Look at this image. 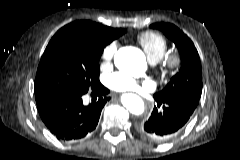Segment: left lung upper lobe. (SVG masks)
I'll return each instance as SVG.
<instances>
[{"label":"left lung upper lobe","mask_w":240,"mask_h":160,"mask_svg":"<svg viewBox=\"0 0 240 160\" xmlns=\"http://www.w3.org/2000/svg\"><path fill=\"white\" fill-rule=\"evenodd\" d=\"M161 31L177 46L182 66L167 86L159 93L154 94L156 99H178L198 105L202 92L201 62L191 39L169 23H155L150 26Z\"/></svg>","instance_id":"left-lung-upper-lobe-1"}]
</instances>
